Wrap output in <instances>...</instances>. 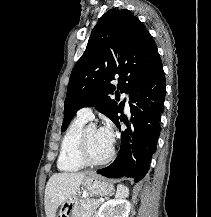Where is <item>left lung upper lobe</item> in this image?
Masks as SVG:
<instances>
[{"label":"left lung upper lobe","mask_w":211,"mask_h":217,"mask_svg":"<svg viewBox=\"0 0 211 217\" xmlns=\"http://www.w3.org/2000/svg\"><path fill=\"white\" fill-rule=\"evenodd\" d=\"M118 53L116 62L112 56ZM162 65L153 37L129 10L110 9L93 28L86 50L75 64L64 106L62 131L75 113L95 106L114 123L124 101L118 104L109 95L129 94L136 85ZM118 77V85L111 84Z\"/></svg>","instance_id":"obj_1"}]
</instances>
